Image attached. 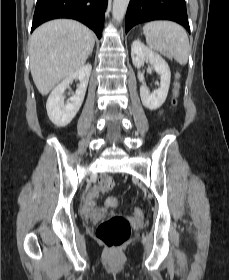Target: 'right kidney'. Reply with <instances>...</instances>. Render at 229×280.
Returning <instances> with one entry per match:
<instances>
[{
	"mask_svg": "<svg viewBox=\"0 0 229 280\" xmlns=\"http://www.w3.org/2000/svg\"><path fill=\"white\" fill-rule=\"evenodd\" d=\"M91 70V64L84 65L57 85L49 95L46 103L47 114L51 122L57 127L67 126L79 111L84 100ZM75 79H78L80 84L75 94L67 103H64L63 94Z\"/></svg>",
	"mask_w": 229,
	"mask_h": 280,
	"instance_id": "1",
	"label": "right kidney"
}]
</instances>
